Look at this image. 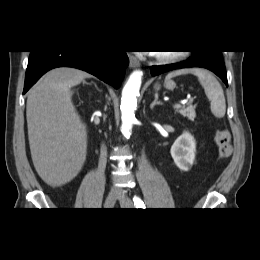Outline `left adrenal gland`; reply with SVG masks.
Instances as JSON below:
<instances>
[{
	"label": "left adrenal gland",
	"mask_w": 260,
	"mask_h": 260,
	"mask_svg": "<svg viewBox=\"0 0 260 260\" xmlns=\"http://www.w3.org/2000/svg\"><path fill=\"white\" fill-rule=\"evenodd\" d=\"M162 103L158 101V93H155L154 101L151 103L150 108L153 109L155 105H161Z\"/></svg>",
	"instance_id": "left-adrenal-gland-1"
}]
</instances>
